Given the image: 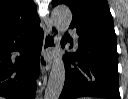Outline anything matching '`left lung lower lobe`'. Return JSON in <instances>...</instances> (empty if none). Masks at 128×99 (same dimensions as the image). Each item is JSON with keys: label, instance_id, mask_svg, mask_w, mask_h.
Returning <instances> with one entry per match:
<instances>
[{"label": "left lung lower lobe", "instance_id": "1", "mask_svg": "<svg viewBox=\"0 0 128 99\" xmlns=\"http://www.w3.org/2000/svg\"><path fill=\"white\" fill-rule=\"evenodd\" d=\"M70 28L77 29L78 50L64 58L66 75L59 99L82 96L120 99L115 33L74 25Z\"/></svg>", "mask_w": 128, "mask_h": 99}]
</instances>
